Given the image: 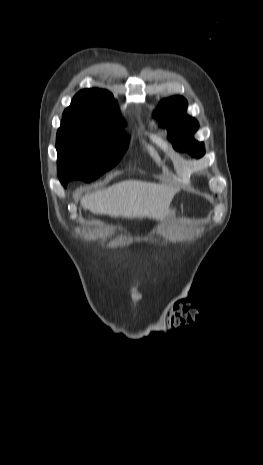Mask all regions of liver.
<instances>
[{"label":"liver","mask_w":263,"mask_h":465,"mask_svg":"<svg viewBox=\"0 0 263 465\" xmlns=\"http://www.w3.org/2000/svg\"><path fill=\"white\" fill-rule=\"evenodd\" d=\"M179 189L141 180H125L81 197V206L111 217L163 220Z\"/></svg>","instance_id":"6515ba94"}]
</instances>
